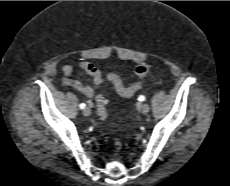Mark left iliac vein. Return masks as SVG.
Segmentation results:
<instances>
[{"mask_svg": "<svg viewBox=\"0 0 230 186\" xmlns=\"http://www.w3.org/2000/svg\"><path fill=\"white\" fill-rule=\"evenodd\" d=\"M139 109L141 110V112L146 115L149 113L150 107L147 103H140L139 104Z\"/></svg>", "mask_w": 230, "mask_h": 186, "instance_id": "4c4485c4", "label": "left iliac vein"}]
</instances>
